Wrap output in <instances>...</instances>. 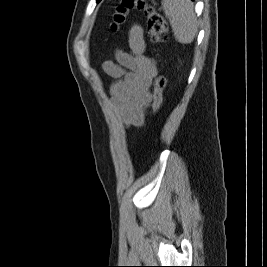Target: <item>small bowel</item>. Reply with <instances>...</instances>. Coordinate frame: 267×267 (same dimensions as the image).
Here are the masks:
<instances>
[{
  "instance_id": "small-bowel-1",
  "label": "small bowel",
  "mask_w": 267,
  "mask_h": 267,
  "mask_svg": "<svg viewBox=\"0 0 267 267\" xmlns=\"http://www.w3.org/2000/svg\"><path fill=\"white\" fill-rule=\"evenodd\" d=\"M129 51H117L116 61H105L104 72L114 81L110 86L113 108L126 126L141 127L152 102L150 85L158 69L153 58L145 54L143 29L133 25L128 36Z\"/></svg>"
}]
</instances>
